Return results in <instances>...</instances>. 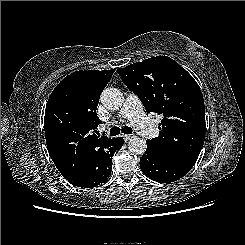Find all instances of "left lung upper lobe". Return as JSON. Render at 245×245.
Listing matches in <instances>:
<instances>
[{"label":"left lung upper lobe","instance_id":"1","mask_svg":"<svg viewBox=\"0 0 245 245\" xmlns=\"http://www.w3.org/2000/svg\"><path fill=\"white\" fill-rule=\"evenodd\" d=\"M146 111L164 116L147 146L161 155L197 160L205 139V107L194 78L176 61L157 56L117 69Z\"/></svg>","mask_w":245,"mask_h":245}]
</instances>
